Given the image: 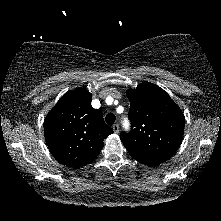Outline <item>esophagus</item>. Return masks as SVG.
<instances>
[{"label": "esophagus", "instance_id": "obj_1", "mask_svg": "<svg viewBox=\"0 0 221 221\" xmlns=\"http://www.w3.org/2000/svg\"><path fill=\"white\" fill-rule=\"evenodd\" d=\"M112 129H113L114 133H119V125L118 124L113 125Z\"/></svg>", "mask_w": 221, "mask_h": 221}]
</instances>
